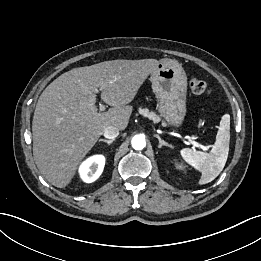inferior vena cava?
<instances>
[{
	"label": "inferior vena cava",
	"instance_id": "1",
	"mask_svg": "<svg viewBox=\"0 0 261 261\" xmlns=\"http://www.w3.org/2000/svg\"><path fill=\"white\" fill-rule=\"evenodd\" d=\"M103 135L107 139H115L119 135V129L114 126H108L104 129Z\"/></svg>",
	"mask_w": 261,
	"mask_h": 261
}]
</instances>
